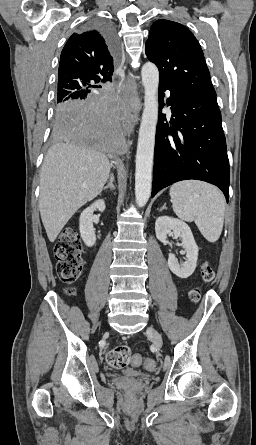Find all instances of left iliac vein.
<instances>
[{
	"label": "left iliac vein",
	"instance_id": "obj_1",
	"mask_svg": "<svg viewBox=\"0 0 256 445\" xmlns=\"http://www.w3.org/2000/svg\"><path fill=\"white\" fill-rule=\"evenodd\" d=\"M147 334L151 338L152 342L157 346L161 347L163 345V340L160 333L154 327L147 328Z\"/></svg>",
	"mask_w": 256,
	"mask_h": 445
}]
</instances>
